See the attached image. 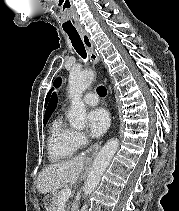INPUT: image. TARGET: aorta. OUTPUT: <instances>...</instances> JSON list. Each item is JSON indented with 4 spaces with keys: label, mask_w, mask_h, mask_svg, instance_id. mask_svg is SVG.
I'll return each mask as SVG.
<instances>
[{
    "label": "aorta",
    "mask_w": 179,
    "mask_h": 211,
    "mask_svg": "<svg viewBox=\"0 0 179 211\" xmlns=\"http://www.w3.org/2000/svg\"><path fill=\"white\" fill-rule=\"evenodd\" d=\"M93 80L94 72L92 70L72 72L69 75L68 92L71 99V107L68 112V119L70 126L74 129H83L86 126V108L81 98L84 91L91 85ZM118 146V139L112 138L100 150L85 182L83 188L84 196L90 195L98 186L101 177L109 166Z\"/></svg>",
    "instance_id": "1"
}]
</instances>
